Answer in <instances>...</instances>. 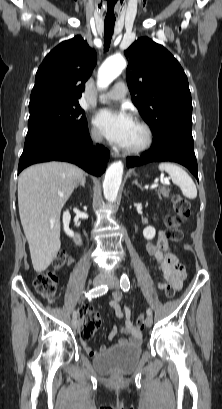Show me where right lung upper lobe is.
<instances>
[{"instance_id":"right-lung-upper-lobe-1","label":"right lung upper lobe","mask_w":222,"mask_h":409,"mask_svg":"<svg viewBox=\"0 0 222 409\" xmlns=\"http://www.w3.org/2000/svg\"><path fill=\"white\" fill-rule=\"evenodd\" d=\"M96 61L95 51L81 36L60 43L38 68L29 108L78 101Z\"/></svg>"}]
</instances>
